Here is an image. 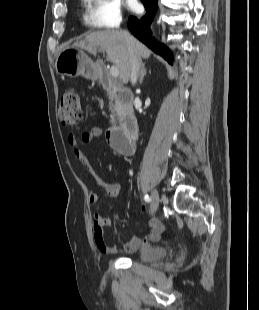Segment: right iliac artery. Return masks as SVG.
I'll return each mask as SVG.
<instances>
[{
  "label": "right iliac artery",
  "mask_w": 259,
  "mask_h": 310,
  "mask_svg": "<svg viewBox=\"0 0 259 310\" xmlns=\"http://www.w3.org/2000/svg\"><path fill=\"white\" fill-rule=\"evenodd\" d=\"M144 200H145L146 202H150V201H151V198H150L148 195H145V196H144Z\"/></svg>",
  "instance_id": "1"
}]
</instances>
